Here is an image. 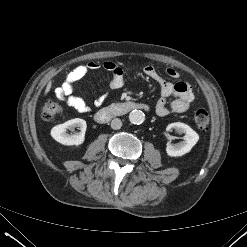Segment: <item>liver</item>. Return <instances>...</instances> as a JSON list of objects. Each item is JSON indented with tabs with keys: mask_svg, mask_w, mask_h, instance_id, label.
Instances as JSON below:
<instances>
[{
	"mask_svg": "<svg viewBox=\"0 0 247 247\" xmlns=\"http://www.w3.org/2000/svg\"><path fill=\"white\" fill-rule=\"evenodd\" d=\"M50 89H51V81L50 82H48V84H47V86H46V89H45V95L50 91Z\"/></svg>",
	"mask_w": 247,
	"mask_h": 247,
	"instance_id": "6515ba94",
	"label": "liver"
}]
</instances>
